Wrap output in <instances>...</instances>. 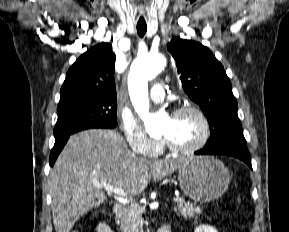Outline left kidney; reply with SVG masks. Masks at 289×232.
<instances>
[{
	"mask_svg": "<svg viewBox=\"0 0 289 232\" xmlns=\"http://www.w3.org/2000/svg\"><path fill=\"white\" fill-rule=\"evenodd\" d=\"M194 232H218L215 228L209 225H200L195 228Z\"/></svg>",
	"mask_w": 289,
	"mask_h": 232,
	"instance_id": "1",
	"label": "left kidney"
}]
</instances>
